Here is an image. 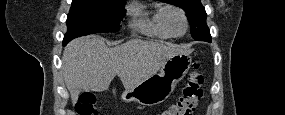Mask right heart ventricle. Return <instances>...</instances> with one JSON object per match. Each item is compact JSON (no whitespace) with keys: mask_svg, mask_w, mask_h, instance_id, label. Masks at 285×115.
I'll return each mask as SVG.
<instances>
[{"mask_svg":"<svg viewBox=\"0 0 285 115\" xmlns=\"http://www.w3.org/2000/svg\"><path fill=\"white\" fill-rule=\"evenodd\" d=\"M162 8H145L135 5L131 12L133 15V28L140 32L160 39H169L172 36L164 29L160 14Z\"/></svg>","mask_w":285,"mask_h":115,"instance_id":"obj_1","label":"right heart ventricle"}]
</instances>
